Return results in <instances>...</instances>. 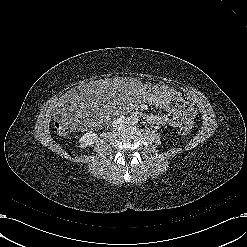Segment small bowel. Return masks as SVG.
Wrapping results in <instances>:
<instances>
[{"instance_id":"1","label":"small bowel","mask_w":247,"mask_h":247,"mask_svg":"<svg viewBox=\"0 0 247 247\" xmlns=\"http://www.w3.org/2000/svg\"><path fill=\"white\" fill-rule=\"evenodd\" d=\"M164 94L159 99H153L149 95L147 101L159 108L169 111L170 114H150L147 121L150 124L167 125L173 128L193 125L196 116L195 108L191 101L180 91L166 84H160Z\"/></svg>"}]
</instances>
